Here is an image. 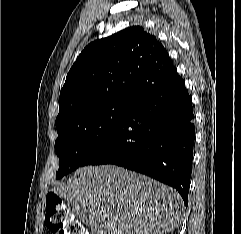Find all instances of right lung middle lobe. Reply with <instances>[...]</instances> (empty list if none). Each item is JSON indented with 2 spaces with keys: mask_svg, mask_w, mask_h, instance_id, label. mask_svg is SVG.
I'll list each match as a JSON object with an SVG mask.
<instances>
[{
  "mask_svg": "<svg viewBox=\"0 0 241 234\" xmlns=\"http://www.w3.org/2000/svg\"><path fill=\"white\" fill-rule=\"evenodd\" d=\"M130 104L107 103L81 110L58 128L55 150L59 157V179L78 167L96 151L123 120Z\"/></svg>",
  "mask_w": 241,
  "mask_h": 234,
  "instance_id": "1",
  "label": "right lung middle lobe"
}]
</instances>
